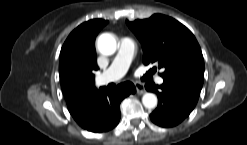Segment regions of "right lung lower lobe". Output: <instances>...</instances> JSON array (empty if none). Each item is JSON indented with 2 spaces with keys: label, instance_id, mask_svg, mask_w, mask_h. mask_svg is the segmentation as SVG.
Instances as JSON below:
<instances>
[{
  "label": "right lung lower lobe",
  "instance_id": "right-lung-lower-lobe-1",
  "mask_svg": "<svg viewBox=\"0 0 247 145\" xmlns=\"http://www.w3.org/2000/svg\"><path fill=\"white\" fill-rule=\"evenodd\" d=\"M135 91L131 82L121 83L112 90L95 89L68 106V110L82 128L96 133L105 132L118 124L121 101Z\"/></svg>",
  "mask_w": 247,
  "mask_h": 145
}]
</instances>
